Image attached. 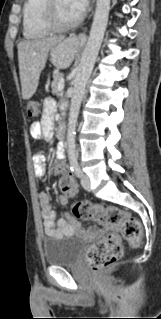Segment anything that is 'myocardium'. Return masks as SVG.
<instances>
[{"instance_id":"f54148a6","label":"myocardium","mask_w":161,"mask_h":319,"mask_svg":"<svg viewBox=\"0 0 161 319\" xmlns=\"http://www.w3.org/2000/svg\"><path fill=\"white\" fill-rule=\"evenodd\" d=\"M58 0H45L43 10V21L45 25L52 31L63 32L75 28L81 21V15H78L74 20L61 23L57 16Z\"/></svg>"}]
</instances>
